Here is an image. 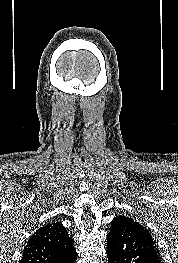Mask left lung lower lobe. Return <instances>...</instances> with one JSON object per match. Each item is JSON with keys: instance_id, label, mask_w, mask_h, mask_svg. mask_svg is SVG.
I'll return each mask as SVG.
<instances>
[{"instance_id": "1", "label": "left lung lower lobe", "mask_w": 178, "mask_h": 263, "mask_svg": "<svg viewBox=\"0 0 178 263\" xmlns=\"http://www.w3.org/2000/svg\"><path fill=\"white\" fill-rule=\"evenodd\" d=\"M108 263H162L150 233L125 216H116L107 234Z\"/></svg>"}]
</instances>
